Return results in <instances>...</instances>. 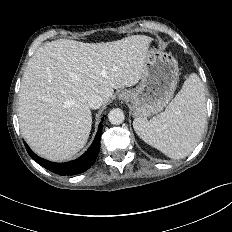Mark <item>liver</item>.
Instances as JSON below:
<instances>
[{"label":"liver","mask_w":232,"mask_h":232,"mask_svg":"<svg viewBox=\"0 0 232 232\" xmlns=\"http://www.w3.org/2000/svg\"><path fill=\"white\" fill-rule=\"evenodd\" d=\"M152 38L83 43L59 39L39 47L24 72L18 117L23 137L38 155L70 159L86 144L92 126L88 99L108 103L114 89L141 79Z\"/></svg>","instance_id":"6515ba94"}]
</instances>
